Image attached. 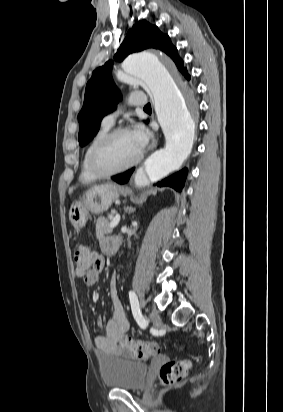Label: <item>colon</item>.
Returning a JSON list of instances; mask_svg holds the SVG:
<instances>
[{"label": "colon", "instance_id": "1", "mask_svg": "<svg viewBox=\"0 0 283 412\" xmlns=\"http://www.w3.org/2000/svg\"><path fill=\"white\" fill-rule=\"evenodd\" d=\"M76 274L85 277L92 269L99 266L101 259L88 246L78 248L74 254ZM122 350L127 356L144 358L155 355L160 351V345L156 342H144L132 338H124L121 342ZM191 366L189 360H170L166 362L160 371V378L164 385H173L180 382L188 373Z\"/></svg>", "mask_w": 283, "mask_h": 412}]
</instances>
